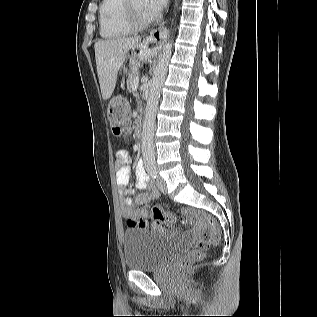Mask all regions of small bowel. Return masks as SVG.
<instances>
[{
  "mask_svg": "<svg viewBox=\"0 0 317 317\" xmlns=\"http://www.w3.org/2000/svg\"><path fill=\"white\" fill-rule=\"evenodd\" d=\"M116 182L120 193L123 195L122 198V215L126 218H141L146 219L150 217L148 207L146 205L147 199L145 197L134 196V190L128 187L131 168H130V156L124 150H120L116 154ZM136 175V188L144 190L148 187L149 178L145 171V168L141 162H138L135 170ZM159 192L154 186L148 188V197L156 198ZM139 206V207H138ZM159 231L169 236H176V231L172 223L167 222L165 226L159 227ZM197 231L195 229L190 230L185 234L184 238L190 239L195 237Z\"/></svg>",
  "mask_w": 317,
  "mask_h": 317,
  "instance_id": "1",
  "label": "small bowel"
}]
</instances>
